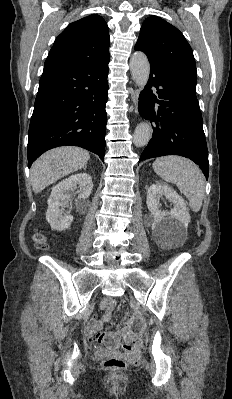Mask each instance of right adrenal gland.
Listing matches in <instances>:
<instances>
[{
    "label": "right adrenal gland",
    "mask_w": 232,
    "mask_h": 399,
    "mask_svg": "<svg viewBox=\"0 0 232 399\" xmlns=\"http://www.w3.org/2000/svg\"><path fill=\"white\" fill-rule=\"evenodd\" d=\"M87 166H84L83 170H86Z\"/></svg>",
    "instance_id": "2a0ac1e0"
}]
</instances>
